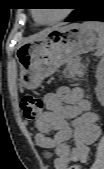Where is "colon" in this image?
Segmentation results:
<instances>
[{
	"label": "colon",
	"instance_id": "colon-1",
	"mask_svg": "<svg viewBox=\"0 0 104 169\" xmlns=\"http://www.w3.org/2000/svg\"><path fill=\"white\" fill-rule=\"evenodd\" d=\"M20 108L27 122H34L38 119L43 111V101L40 96L26 94L20 101ZM68 169H81V166L74 164Z\"/></svg>",
	"mask_w": 104,
	"mask_h": 169
}]
</instances>
